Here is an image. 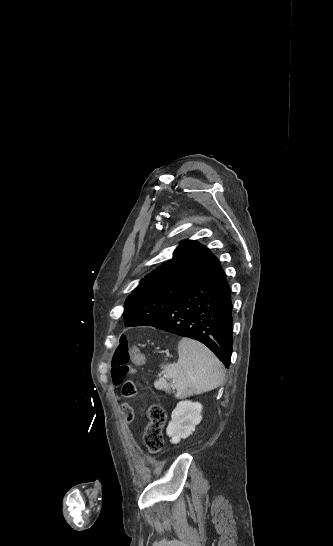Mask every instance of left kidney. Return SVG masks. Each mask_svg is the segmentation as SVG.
Segmentation results:
<instances>
[{"label": "left kidney", "mask_w": 333, "mask_h": 546, "mask_svg": "<svg viewBox=\"0 0 333 546\" xmlns=\"http://www.w3.org/2000/svg\"><path fill=\"white\" fill-rule=\"evenodd\" d=\"M202 405L198 402L185 400L177 403L171 414L166 433L173 444L179 443L195 431L196 425L202 420Z\"/></svg>", "instance_id": "1"}]
</instances>
